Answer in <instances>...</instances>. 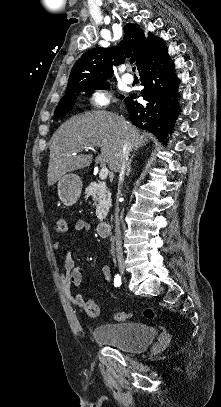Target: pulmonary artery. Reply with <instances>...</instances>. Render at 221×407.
Returning <instances> with one entry per match:
<instances>
[{"mask_svg": "<svg viewBox=\"0 0 221 407\" xmlns=\"http://www.w3.org/2000/svg\"><path fill=\"white\" fill-rule=\"evenodd\" d=\"M122 81H123L124 83H126V84H130V83H132V81H133V77H132L130 74L126 73V74H124V75L122 76Z\"/></svg>", "mask_w": 221, "mask_h": 407, "instance_id": "pulmonary-artery-1", "label": "pulmonary artery"}]
</instances>
